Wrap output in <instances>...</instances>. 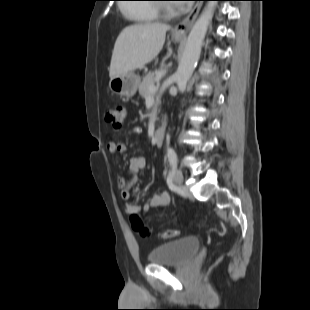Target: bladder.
I'll use <instances>...</instances> for the list:
<instances>
[{
    "mask_svg": "<svg viewBox=\"0 0 310 310\" xmlns=\"http://www.w3.org/2000/svg\"><path fill=\"white\" fill-rule=\"evenodd\" d=\"M200 248L199 240L194 237L162 243L148 254L151 264L180 266L191 261Z\"/></svg>",
    "mask_w": 310,
    "mask_h": 310,
    "instance_id": "31cf9c89",
    "label": "bladder"
}]
</instances>
